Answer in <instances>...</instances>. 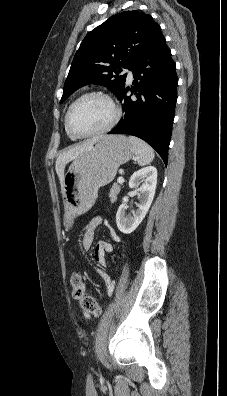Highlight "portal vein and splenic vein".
I'll use <instances>...</instances> for the list:
<instances>
[{"label": "portal vein and splenic vein", "mask_w": 227, "mask_h": 396, "mask_svg": "<svg viewBox=\"0 0 227 396\" xmlns=\"http://www.w3.org/2000/svg\"><path fill=\"white\" fill-rule=\"evenodd\" d=\"M117 182L122 184L124 182V178L122 176L118 177Z\"/></svg>", "instance_id": "1"}]
</instances>
